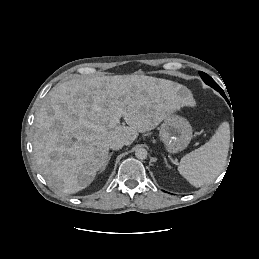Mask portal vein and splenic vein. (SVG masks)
<instances>
[{
	"instance_id": "portal-vein-and-splenic-vein-1",
	"label": "portal vein and splenic vein",
	"mask_w": 259,
	"mask_h": 259,
	"mask_svg": "<svg viewBox=\"0 0 259 259\" xmlns=\"http://www.w3.org/2000/svg\"><path fill=\"white\" fill-rule=\"evenodd\" d=\"M124 110L122 108L118 109L112 116V118L109 121L108 127L114 128L117 126V124L120 122V118L123 116ZM96 129L99 131H102L105 129L104 126H96Z\"/></svg>"
}]
</instances>
